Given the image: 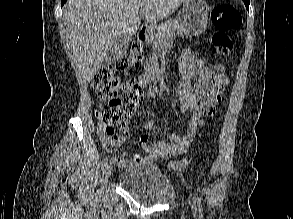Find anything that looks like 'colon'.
<instances>
[{
    "label": "colon",
    "instance_id": "1",
    "mask_svg": "<svg viewBox=\"0 0 293 219\" xmlns=\"http://www.w3.org/2000/svg\"><path fill=\"white\" fill-rule=\"evenodd\" d=\"M211 17L216 28L212 38L214 51L218 55L229 54L234 47L231 33L241 27V15L233 5L218 4L213 8ZM142 57V48L135 44L126 56L103 65L91 79L97 95L106 100L97 109L96 117L108 135H115L116 128L123 129L129 125L137 103L143 97L142 87L132 77L133 68ZM216 71L224 74V66L218 64ZM188 163V160H180L171 165L175 169H182Z\"/></svg>",
    "mask_w": 293,
    "mask_h": 219
}]
</instances>
